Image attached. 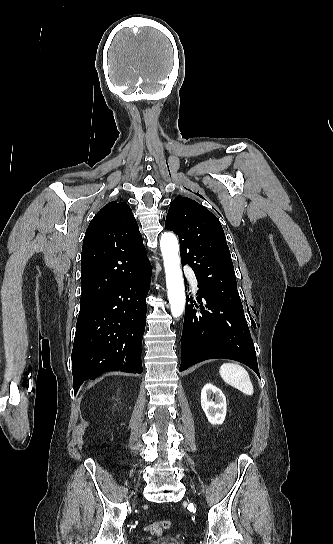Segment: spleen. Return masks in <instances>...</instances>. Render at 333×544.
I'll return each instance as SVG.
<instances>
[{
    "mask_svg": "<svg viewBox=\"0 0 333 544\" xmlns=\"http://www.w3.org/2000/svg\"><path fill=\"white\" fill-rule=\"evenodd\" d=\"M224 382L251 396L254 393L253 385L248 372L237 363H224L219 369Z\"/></svg>",
    "mask_w": 333,
    "mask_h": 544,
    "instance_id": "3e777b00",
    "label": "spleen"
}]
</instances>
